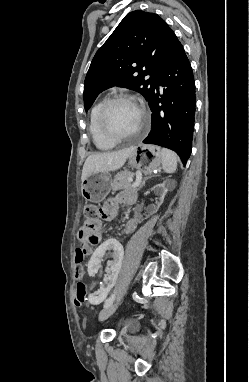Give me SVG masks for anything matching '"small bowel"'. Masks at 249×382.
Here are the masks:
<instances>
[{"instance_id": "1", "label": "small bowel", "mask_w": 249, "mask_h": 382, "mask_svg": "<svg viewBox=\"0 0 249 382\" xmlns=\"http://www.w3.org/2000/svg\"><path fill=\"white\" fill-rule=\"evenodd\" d=\"M134 196L131 194H122L118 197L110 198L101 208H100V216L104 220H112L115 218L118 212L119 204L131 205L134 203ZM139 222L138 217H134L130 219L126 225V231H133ZM100 226L99 222H89L85 221L83 225L77 231V239L78 241L86 247V249H93L94 246L100 245ZM89 274V272H88ZM87 300L83 298H76L75 304L76 306L83 305L84 301Z\"/></svg>"}]
</instances>
